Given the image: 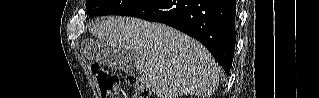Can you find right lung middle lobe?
<instances>
[{"label":"right lung middle lobe","mask_w":319,"mask_h":98,"mask_svg":"<svg viewBox=\"0 0 319 98\" xmlns=\"http://www.w3.org/2000/svg\"><path fill=\"white\" fill-rule=\"evenodd\" d=\"M146 0H87V12L93 16L121 15Z\"/></svg>","instance_id":"dd1d6c3e"}]
</instances>
